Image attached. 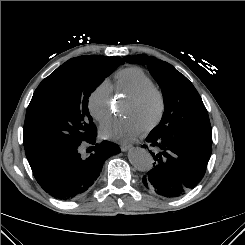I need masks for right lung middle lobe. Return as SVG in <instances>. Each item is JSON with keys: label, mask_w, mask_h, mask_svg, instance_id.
Returning a JSON list of instances; mask_svg holds the SVG:
<instances>
[{"label": "right lung middle lobe", "mask_w": 245, "mask_h": 245, "mask_svg": "<svg viewBox=\"0 0 245 245\" xmlns=\"http://www.w3.org/2000/svg\"><path fill=\"white\" fill-rule=\"evenodd\" d=\"M119 57L80 56L57 68L35 90L27 108V159L76 147L97 134L88 110L91 93L120 64Z\"/></svg>", "instance_id": "1"}]
</instances>
